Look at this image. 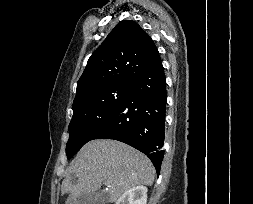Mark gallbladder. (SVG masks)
<instances>
[{"mask_svg":"<svg viewBox=\"0 0 253 204\" xmlns=\"http://www.w3.org/2000/svg\"><path fill=\"white\" fill-rule=\"evenodd\" d=\"M107 202L104 192L83 194L78 198V204H105Z\"/></svg>","mask_w":253,"mask_h":204,"instance_id":"obj_1","label":"gallbladder"}]
</instances>
